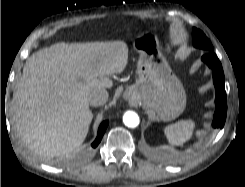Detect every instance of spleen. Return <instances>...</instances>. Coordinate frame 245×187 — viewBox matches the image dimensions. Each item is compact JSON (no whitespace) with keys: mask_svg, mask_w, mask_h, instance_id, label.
Here are the masks:
<instances>
[{"mask_svg":"<svg viewBox=\"0 0 245 187\" xmlns=\"http://www.w3.org/2000/svg\"><path fill=\"white\" fill-rule=\"evenodd\" d=\"M194 128V121L181 120L165 127L164 133L172 146H180L192 137Z\"/></svg>","mask_w":245,"mask_h":187,"instance_id":"1","label":"spleen"}]
</instances>
